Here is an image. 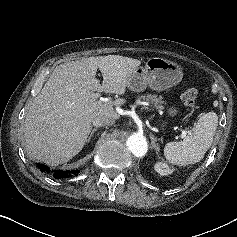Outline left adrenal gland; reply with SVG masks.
<instances>
[{
  "label": "left adrenal gland",
  "instance_id": "a2214340",
  "mask_svg": "<svg viewBox=\"0 0 237 237\" xmlns=\"http://www.w3.org/2000/svg\"><path fill=\"white\" fill-rule=\"evenodd\" d=\"M150 139H151V148L156 150V153L158 154L159 152V145L156 143L157 139L154 137L152 133L149 134Z\"/></svg>",
  "mask_w": 237,
  "mask_h": 237
}]
</instances>
